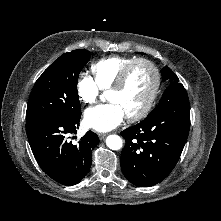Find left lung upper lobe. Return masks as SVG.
Returning a JSON list of instances; mask_svg holds the SVG:
<instances>
[{
  "instance_id": "obj_1",
  "label": "left lung upper lobe",
  "mask_w": 221,
  "mask_h": 221,
  "mask_svg": "<svg viewBox=\"0 0 221 221\" xmlns=\"http://www.w3.org/2000/svg\"><path fill=\"white\" fill-rule=\"evenodd\" d=\"M161 74H162L163 81H166L167 79L170 80V85L165 90L157 107L160 106L163 102H165L164 99L166 96L169 95V93H171V94L186 93V90L183 87V85L181 83H179L178 77L175 75V73L168 66L161 69ZM157 107H155V109L150 114L155 112Z\"/></svg>"
}]
</instances>
